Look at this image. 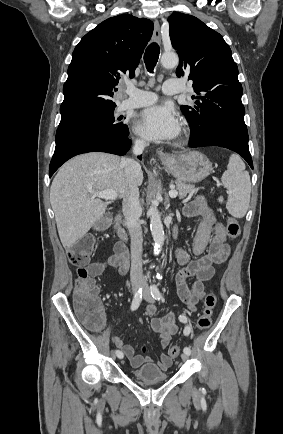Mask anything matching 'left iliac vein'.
I'll return each instance as SVG.
<instances>
[{"label": "left iliac vein", "instance_id": "1", "mask_svg": "<svg viewBox=\"0 0 283 434\" xmlns=\"http://www.w3.org/2000/svg\"><path fill=\"white\" fill-rule=\"evenodd\" d=\"M141 286H142V289H143V298H144L147 302H150V303L153 302V298H152V296H151V292H150V289H149V287H148L146 281H142V282H141ZM181 358H182V360L185 362V361L188 360L189 355L186 354V353H183V354H181Z\"/></svg>", "mask_w": 283, "mask_h": 434}]
</instances>
